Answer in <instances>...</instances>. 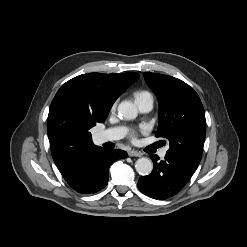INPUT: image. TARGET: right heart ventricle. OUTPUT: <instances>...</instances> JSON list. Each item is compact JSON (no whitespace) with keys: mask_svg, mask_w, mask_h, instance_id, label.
Instances as JSON below:
<instances>
[{"mask_svg":"<svg viewBox=\"0 0 247 247\" xmlns=\"http://www.w3.org/2000/svg\"><path fill=\"white\" fill-rule=\"evenodd\" d=\"M134 98H135V102H138V101L143 100V99H151L152 100L151 94L148 91H144V90L136 91L134 93Z\"/></svg>","mask_w":247,"mask_h":247,"instance_id":"e07e8e85","label":"right heart ventricle"}]
</instances>
